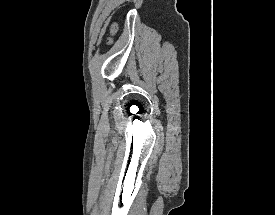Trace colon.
Listing matches in <instances>:
<instances>
[{
	"mask_svg": "<svg viewBox=\"0 0 275 215\" xmlns=\"http://www.w3.org/2000/svg\"><path fill=\"white\" fill-rule=\"evenodd\" d=\"M110 30H111L112 33L115 32V30H116V25H115V24H112L111 27H110Z\"/></svg>",
	"mask_w": 275,
	"mask_h": 215,
	"instance_id": "colon-1",
	"label": "colon"
}]
</instances>
